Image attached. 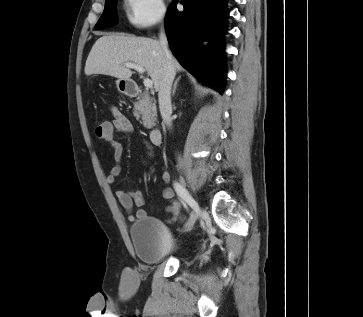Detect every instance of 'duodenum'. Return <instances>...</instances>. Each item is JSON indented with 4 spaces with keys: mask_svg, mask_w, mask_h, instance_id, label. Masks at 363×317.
I'll use <instances>...</instances> for the list:
<instances>
[{
    "mask_svg": "<svg viewBox=\"0 0 363 317\" xmlns=\"http://www.w3.org/2000/svg\"><path fill=\"white\" fill-rule=\"evenodd\" d=\"M126 92L130 97H136L140 94V87L135 83H128L126 86ZM150 140L156 145L160 146L162 144V132L159 128H152L150 130Z\"/></svg>",
    "mask_w": 363,
    "mask_h": 317,
    "instance_id": "duodenum-1",
    "label": "duodenum"
}]
</instances>
